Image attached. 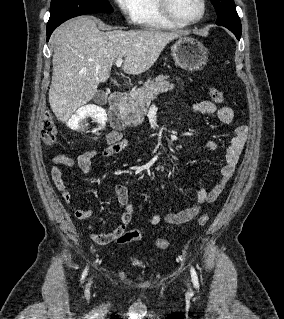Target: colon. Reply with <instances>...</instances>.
<instances>
[{"label":"colon","instance_id":"colon-1","mask_svg":"<svg viewBox=\"0 0 284 319\" xmlns=\"http://www.w3.org/2000/svg\"><path fill=\"white\" fill-rule=\"evenodd\" d=\"M208 94L210 98L216 102V103H224L225 101V95L222 91L211 87L208 90ZM41 137L43 141L48 144L52 145L56 139H57V128L55 126V123L53 119L50 116H46L43 118L42 126H41ZM209 220V216L207 214H203L198 219V225L204 226ZM142 238V233L138 230H131L124 232L123 235H121L117 242L119 244H128L133 241H139ZM168 241L166 239H159L157 241V247L161 250H164L168 247Z\"/></svg>","mask_w":284,"mask_h":319}]
</instances>
